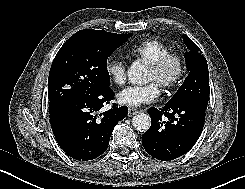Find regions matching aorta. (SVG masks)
<instances>
[{
  "instance_id": "aorta-1",
  "label": "aorta",
  "mask_w": 245,
  "mask_h": 189,
  "mask_svg": "<svg viewBox=\"0 0 245 189\" xmlns=\"http://www.w3.org/2000/svg\"><path fill=\"white\" fill-rule=\"evenodd\" d=\"M130 82L134 84L147 83V70L140 62H133L127 71ZM132 125L135 130L139 132H146L151 125L149 115L145 113H138L132 119Z\"/></svg>"
}]
</instances>
